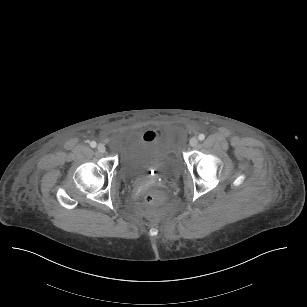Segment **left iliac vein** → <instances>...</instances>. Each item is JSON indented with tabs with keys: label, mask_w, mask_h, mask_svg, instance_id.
Listing matches in <instances>:
<instances>
[{
	"label": "left iliac vein",
	"mask_w": 307,
	"mask_h": 307,
	"mask_svg": "<svg viewBox=\"0 0 307 307\" xmlns=\"http://www.w3.org/2000/svg\"><path fill=\"white\" fill-rule=\"evenodd\" d=\"M190 146L194 147L198 144V139L196 137H192L189 141Z\"/></svg>",
	"instance_id": "left-iliac-vein-1"
}]
</instances>
